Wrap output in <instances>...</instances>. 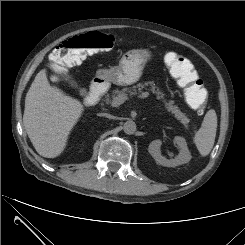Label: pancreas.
<instances>
[{"mask_svg": "<svg viewBox=\"0 0 245 245\" xmlns=\"http://www.w3.org/2000/svg\"><path fill=\"white\" fill-rule=\"evenodd\" d=\"M150 88V90L156 94L157 96V99H163V102L165 104V109L168 111V112H171L174 117L179 120L181 123L183 124H188L189 122V119L187 118L186 114L181 112V110L179 109L178 106L176 105H173L174 102L173 101H166L164 100V96L165 94L157 87L155 86V83L152 81V82H147V83H139L137 84V86H133V87H129V88H123L122 90H114L112 92V95L111 97L107 96L106 98V103H112V101L114 100L115 97H118V96H125V97H132L134 95H136L138 92L141 93L142 90L146 87Z\"/></svg>", "mask_w": 245, "mask_h": 245, "instance_id": "cf45deb5", "label": "pancreas"}]
</instances>
